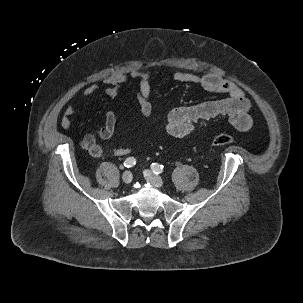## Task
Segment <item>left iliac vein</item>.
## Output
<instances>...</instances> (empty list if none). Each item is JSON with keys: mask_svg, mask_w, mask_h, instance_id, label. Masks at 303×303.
<instances>
[{"mask_svg": "<svg viewBox=\"0 0 303 303\" xmlns=\"http://www.w3.org/2000/svg\"><path fill=\"white\" fill-rule=\"evenodd\" d=\"M144 177L145 179L151 183L152 185L156 186V187H163L164 186V181L163 179L158 176V175H155L152 171L150 170H145L144 171Z\"/></svg>", "mask_w": 303, "mask_h": 303, "instance_id": "obj_1", "label": "left iliac vein"}]
</instances>
